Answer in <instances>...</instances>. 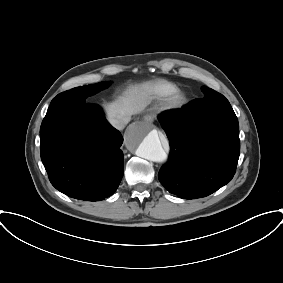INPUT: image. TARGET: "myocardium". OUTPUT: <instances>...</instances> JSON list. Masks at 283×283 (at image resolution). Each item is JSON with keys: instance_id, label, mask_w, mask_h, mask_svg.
Instances as JSON below:
<instances>
[{"instance_id": "f54148a6", "label": "myocardium", "mask_w": 283, "mask_h": 283, "mask_svg": "<svg viewBox=\"0 0 283 283\" xmlns=\"http://www.w3.org/2000/svg\"><path fill=\"white\" fill-rule=\"evenodd\" d=\"M185 101V96L178 91L168 94L167 105L169 107H178L181 106Z\"/></svg>"}]
</instances>
